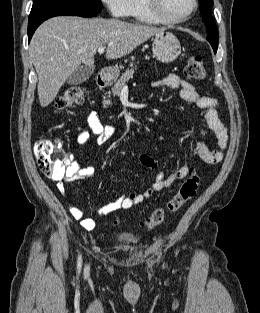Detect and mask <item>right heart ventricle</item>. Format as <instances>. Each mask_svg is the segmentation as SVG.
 I'll return each instance as SVG.
<instances>
[{
	"instance_id": "e07e8e85",
	"label": "right heart ventricle",
	"mask_w": 260,
	"mask_h": 313,
	"mask_svg": "<svg viewBox=\"0 0 260 313\" xmlns=\"http://www.w3.org/2000/svg\"><path fill=\"white\" fill-rule=\"evenodd\" d=\"M129 15L136 21L146 24H157V22L148 12L144 0H131Z\"/></svg>"
}]
</instances>
